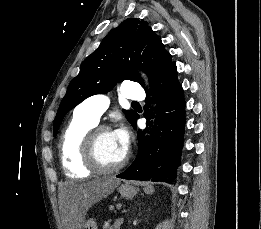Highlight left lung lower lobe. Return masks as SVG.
Masks as SVG:
<instances>
[{
    "instance_id": "1",
    "label": "left lung lower lobe",
    "mask_w": 261,
    "mask_h": 229,
    "mask_svg": "<svg viewBox=\"0 0 261 229\" xmlns=\"http://www.w3.org/2000/svg\"><path fill=\"white\" fill-rule=\"evenodd\" d=\"M151 92L157 106L156 120L144 131L138 130V154L135 161L118 178L172 183L177 177L185 127L183 89L177 79L176 65L162 72L152 83ZM149 94V91L146 89ZM146 118L149 119L145 110ZM132 126L136 129V119ZM148 133V134H147ZM147 134V135H146ZM154 155V159L151 158Z\"/></svg>"
}]
</instances>
